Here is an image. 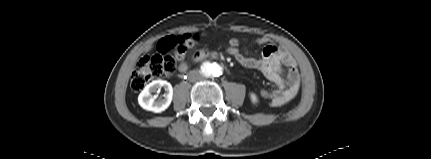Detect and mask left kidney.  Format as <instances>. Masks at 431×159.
<instances>
[{
	"label": "left kidney",
	"instance_id": "5707ae66",
	"mask_svg": "<svg viewBox=\"0 0 431 159\" xmlns=\"http://www.w3.org/2000/svg\"><path fill=\"white\" fill-rule=\"evenodd\" d=\"M250 98H251V101H252L253 103H257V102H258V98H257L256 94L251 93V94H250Z\"/></svg>",
	"mask_w": 431,
	"mask_h": 159
}]
</instances>
